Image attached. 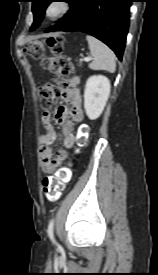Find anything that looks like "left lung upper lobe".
<instances>
[{
	"label": "left lung upper lobe",
	"instance_id": "obj_1",
	"mask_svg": "<svg viewBox=\"0 0 158 275\" xmlns=\"http://www.w3.org/2000/svg\"><path fill=\"white\" fill-rule=\"evenodd\" d=\"M51 0H32L33 6L32 11L34 15V22L31 26V29L36 28L44 16L45 10L49 3H51Z\"/></svg>",
	"mask_w": 158,
	"mask_h": 275
}]
</instances>
